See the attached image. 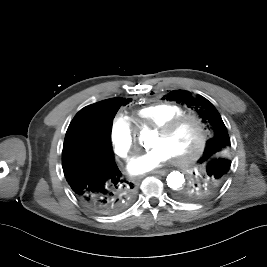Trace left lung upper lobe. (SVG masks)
Returning a JSON list of instances; mask_svg holds the SVG:
<instances>
[{
  "mask_svg": "<svg viewBox=\"0 0 267 267\" xmlns=\"http://www.w3.org/2000/svg\"><path fill=\"white\" fill-rule=\"evenodd\" d=\"M177 103L186 104L194 109L202 122L212 130L203 155L207 153H224L230 157V138L227 128L214 105L203 96L195 98L189 91L175 90L163 97Z\"/></svg>",
  "mask_w": 267,
  "mask_h": 267,
  "instance_id": "5c2ea615",
  "label": "left lung upper lobe"
}]
</instances>
